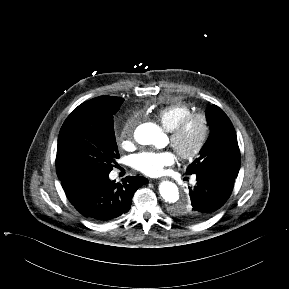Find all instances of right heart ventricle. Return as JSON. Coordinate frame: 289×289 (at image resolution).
<instances>
[{
	"mask_svg": "<svg viewBox=\"0 0 289 289\" xmlns=\"http://www.w3.org/2000/svg\"><path fill=\"white\" fill-rule=\"evenodd\" d=\"M191 113L193 110L187 104L175 103L160 108L157 111V118L166 130L171 131L182 118Z\"/></svg>",
	"mask_w": 289,
	"mask_h": 289,
	"instance_id": "right-heart-ventricle-1",
	"label": "right heart ventricle"
}]
</instances>
